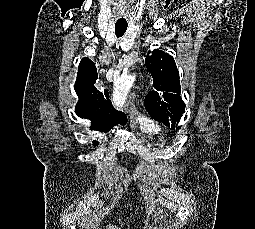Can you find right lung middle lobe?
I'll return each mask as SVG.
<instances>
[{
	"label": "right lung middle lobe",
	"instance_id": "dd1d6c3e",
	"mask_svg": "<svg viewBox=\"0 0 255 229\" xmlns=\"http://www.w3.org/2000/svg\"><path fill=\"white\" fill-rule=\"evenodd\" d=\"M99 144V142H93L94 146H97Z\"/></svg>",
	"mask_w": 255,
	"mask_h": 229
}]
</instances>
